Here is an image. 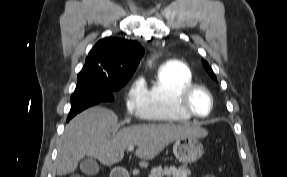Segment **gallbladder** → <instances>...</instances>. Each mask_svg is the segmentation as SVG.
Here are the masks:
<instances>
[{"label": "gallbladder", "mask_w": 287, "mask_h": 177, "mask_svg": "<svg viewBox=\"0 0 287 177\" xmlns=\"http://www.w3.org/2000/svg\"><path fill=\"white\" fill-rule=\"evenodd\" d=\"M99 165L94 158L88 157L81 161L80 163V170L82 173L88 176H93L98 174L99 172Z\"/></svg>", "instance_id": "gallbladder-1"}]
</instances>
